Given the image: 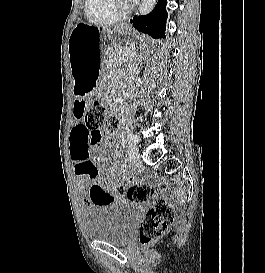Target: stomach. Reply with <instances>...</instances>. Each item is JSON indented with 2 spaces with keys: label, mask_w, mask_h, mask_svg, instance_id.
I'll list each match as a JSON object with an SVG mask.
<instances>
[{
  "label": "stomach",
  "mask_w": 265,
  "mask_h": 273,
  "mask_svg": "<svg viewBox=\"0 0 265 273\" xmlns=\"http://www.w3.org/2000/svg\"><path fill=\"white\" fill-rule=\"evenodd\" d=\"M157 40H142L128 27L116 31L103 30L86 23H78L71 31L68 56L74 95H93L98 78H109L116 64H129L135 51H106L110 49H152Z\"/></svg>",
  "instance_id": "1"
}]
</instances>
